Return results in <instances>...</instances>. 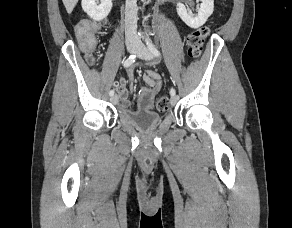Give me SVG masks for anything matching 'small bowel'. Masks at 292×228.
<instances>
[{
  "label": "small bowel",
  "instance_id": "obj_1",
  "mask_svg": "<svg viewBox=\"0 0 292 228\" xmlns=\"http://www.w3.org/2000/svg\"><path fill=\"white\" fill-rule=\"evenodd\" d=\"M134 71L131 69L128 72V77H122L114 83V87L118 94L119 105L123 108L130 109L133 104L128 99V83L133 80ZM143 80L146 86L139 89L137 94V108L150 111L153 109V100L161 89V77L153 70H146L143 73ZM133 89V85H131Z\"/></svg>",
  "mask_w": 292,
  "mask_h": 228
}]
</instances>
